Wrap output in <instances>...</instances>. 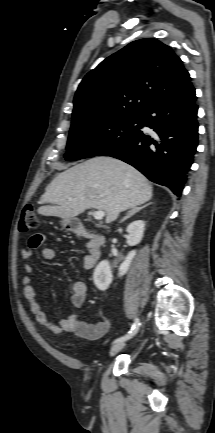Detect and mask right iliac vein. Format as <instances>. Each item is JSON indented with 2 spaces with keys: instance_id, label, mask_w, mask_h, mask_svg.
Instances as JSON below:
<instances>
[{
  "instance_id": "63e3f726",
  "label": "right iliac vein",
  "mask_w": 215,
  "mask_h": 433,
  "mask_svg": "<svg viewBox=\"0 0 215 433\" xmlns=\"http://www.w3.org/2000/svg\"><path fill=\"white\" fill-rule=\"evenodd\" d=\"M125 347V342H123V341H120V342H117L116 344H114L112 347H111V349H110V352H109V355L112 357V356H115L118 352H120L123 348Z\"/></svg>"
}]
</instances>
